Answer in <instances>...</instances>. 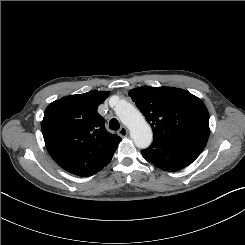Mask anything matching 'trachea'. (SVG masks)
I'll list each match as a JSON object with an SVG mask.
<instances>
[{"mask_svg": "<svg viewBox=\"0 0 245 245\" xmlns=\"http://www.w3.org/2000/svg\"><path fill=\"white\" fill-rule=\"evenodd\" d=\"M109 127L110 129L112 130H118L120 128V124L118 122V120L116 118H112L110 121H109Z\"/></svg>", "mask_w": 245, "mask_h": 245, "instance_id": "3493384b", "label": "trachea"}]
</instances>
